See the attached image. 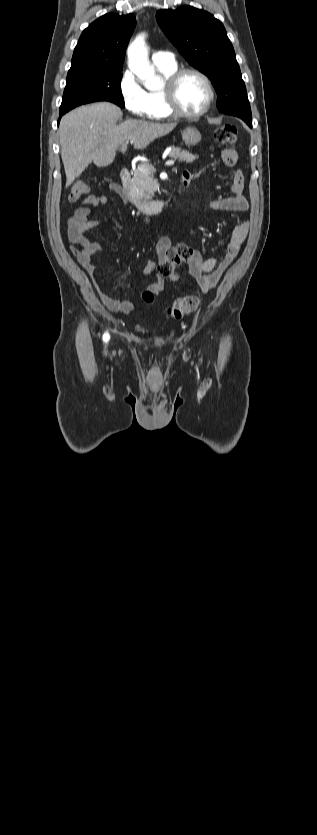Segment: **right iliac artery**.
<instances>
[{"mask_svg": "<svg viewBox=\"0 0 317 835\" xmlns=\"http://www.w3.org/2000/svg\"><path fill=\"white\" fill-rule=\"evenodd\" d=\"M109 338H110V337H109V334H108V333H105V334L103 335V340H104V342H108Z\"/></svg>", "mask_w": 317, "mask_h": 835, "instance_id": "1", "label": "right iliac artery"}]
</instances>
